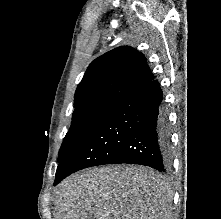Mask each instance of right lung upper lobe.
Returning <instances> with one entry per match:
<instances>
[{
	"mask_svg": "<svg viewBox=\"0 0 221 219\" xmlns=\"http://www.w3.org/2000/svg\"><path fill=\"white\" fill-rule=\"evenodd\" d=\"M154 79L144 55L129 46L95 59L79 83L74 107L100 99L122 100Z\"/></svg>",
	"mask_w": 221,
	"mask_h": 219,
	"instance_id": "right-lung-upper-lobe-1",
	"label": "right lung upper lobe"
}]
</instances>
